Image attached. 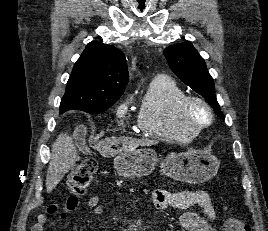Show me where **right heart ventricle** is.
Masks as SVG:
<instances>
[{"label": "right heart ventricle", "instance_id": "1", "mask_svg": "<svg viewBox=\"0 0 268 231\" xmlns=\"http://www.w3.org/2000/svg\"><path fill=\"white\" fill-rule=\"evenodd\" d=\"M184 90L168 76H158L149 84L140 103L137 122L143 134L152 139L187 142L192 137L177 120V107Z\"/></svg>", "mask_w": 268, "mask_h": 231}]
</instances>
